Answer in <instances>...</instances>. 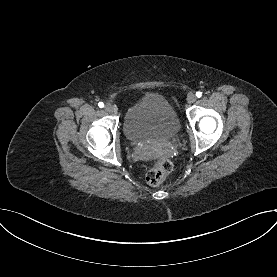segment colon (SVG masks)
Returning <instances> with one entry per match:
<instances>
[{
  "label": "colon",
  "instance_id": "colon-1",
  "mask_svg": "<svg viewBox=\"0 0 277 277\" xmlns=\"http://www.w3.org/2000/svg\"><path fill=\"white\" fill-rule=\"evenodd\" d=\"M172 169L173 164L170 160H158L146 175L147 183L152 186L160 185Z\"/></svg>",
  "mask_w": 277,
  "mask_h": 277
}]
</instances>
